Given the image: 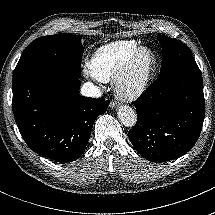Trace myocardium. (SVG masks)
Wrapping results in <instances>:
<instances>
[{
  "mask_svg": "<svg viewBox=\"0 0 215 215\" xmlns=\"http://www.w3.org/2000/svg\"><path fill=\"white\" fill-rule=\"evenodd\" d=\"M149 52L147 60L141 61V55ZM157 64V55L150 46H140L129 56L114 79V91L122 100H134L147 88L152 72Z\"/></svg>",
  "mask_w": 215,
  "mask_h": 215,
  "instance_id": "1",
  "label": "myocardium"
}]
</instances>
